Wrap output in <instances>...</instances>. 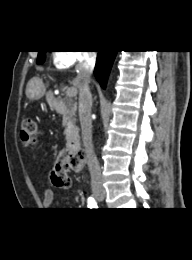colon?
Returning a JSON list of instances; mask_svg holds the SVG:
<instances>
[{"mask_svg":"<svg viewBox=\"0 0 192 260\" xmlns=\"http://www.w3.org/2000/svg\"><path fill=\"white\" fill-rule=\"evenodd\" d=\"M42 132L36 122L31 118H23L20 128V139L27 148L34 149L39 145ZM85 154H71L68 152L59 153L54 160L51 171L52 184L60 189H67L71 186V172H80L83 168Z\"/></svg>","mask_w":192,"mask_h":260,"instance_id":"colon-1","label":"colon"}]
</instances>
